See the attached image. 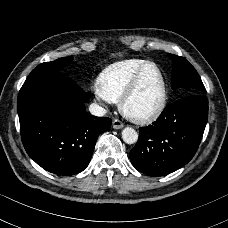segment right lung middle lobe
Wrapping results in <instances>:
<instances>
[{
	"label": "right lung middle lobe",
	"mask_w": 228,
	"mask_h": 228,
	"mask_svg": "<svg viewBox=\"0 0 228 228\" xmlns=\"http://www.w3.org/2000/svg\"><path fill=\"white\" fill-rule=\"evenodd\" d=\"M73 60V57H67V58H59L57 60H54L52 62H45L40 65H38L30 74L28 77H32L35 75H39L42 73H48V72H58L64 68V66L70 64Z\"/></svg>",
	"instance_id": "1"
}]
</instances>
